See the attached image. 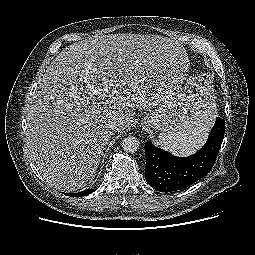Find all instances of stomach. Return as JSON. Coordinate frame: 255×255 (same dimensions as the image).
<instances>
[{
	"label": "stomach",
	"instance_id": "0dacf381",
	"mask_svg": "<svg viewBox=\"0 0 255 255\" xmlns=\"http://www.w3.org/2000/svg\"><path fill=\"white\" fill-rule=\"evenodd\" d=\"M188 104L183 95L182 82L180 81L168 89L156 109L143 118L142 125L165 133L185 131L191 123L187 113Z\"/></svg>",
	"mask_w": 255,
	"mask_h": 255
}]
</instances>
